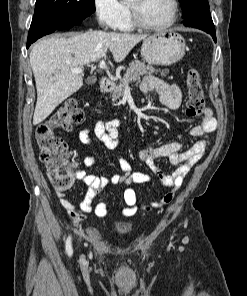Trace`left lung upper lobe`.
<instances>
[{
    "mask_svg": "<svg viewBox=\"0 0 247 296\" xmlns=\"http://www.w3.org/2000/svg\"><path fill=\"white\" fill-rule=\"evenodd\" d=\"M179 1L184 11L183 13L184 18H188L189 16L203 9H209L208 0H179Z\"/></svg>",
    "mask_w": 247,
    "mask_h": 296,
    "instance_id": "left-lung-upper-lobe-1",
    "label": "left lung upper lobe"
}]
</instances>
